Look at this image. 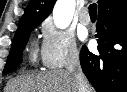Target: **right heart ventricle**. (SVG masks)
Returning <instances> with one entry per match:
<instances>
[{
    "mask_svg": "<svg viewBox=\"0 0 127 92\" xmlns=\"http://www.w3.org/2000/svg\"><path fill=\"white\" fill-rule=\"evenodd\" d=\"M35 59H36L35 51H32L31 54H30V60L32 62H35Z\"/></svg>",
    "mask_w": 127,
    "mask_h": 92,
    "instance_id": "right-heart-ventricle-1",
    "label": "right heart ventricle"
}]
</instances>
